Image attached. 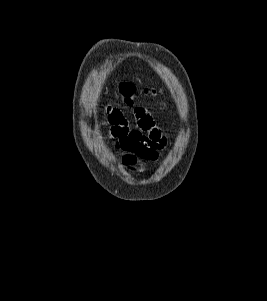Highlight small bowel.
I'll return each mask as SVG.
<instances>
[{
	"label": "small bowel",
	"instance_id": "small-bowel-1",
	"mask_svg": "<svg viewBox=\"0 0 267 301\" xmlns=\"http://www.w3.org/2000/svg\"><path fill=\"white\" fill-rule=\"evenodd\" d=\"M136 128H131L123 112L115 107L104 111L103 123L109 125L110 136L121 151V162L129 170L143 169L146 162H155L167 139L144 108L134 110Z\"/></svg>",
	"mask_w": 267,
	"mask_h": 301
}]
</instances>
